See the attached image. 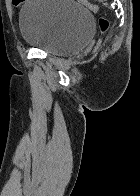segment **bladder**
Instances as JSON below:
<instances>
[{"instance_id": "obj_1", "label": "bladder", "mask_w": 140, "mask_h": 196, "mask_svg": "<svg viewBox=\"0 0 140 196\" xmlns=\"http://www.w3.org/2000/svg\"><path fill=\"white\" fill-rule=\"evenodd\" d=\"M19 24L26 44L58 56L81 51L94 34L92 12L76 0H28Z\"/></svg>"}]
</instances>
